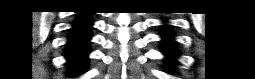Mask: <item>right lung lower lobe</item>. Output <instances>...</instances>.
Wrapping results in <instances>:
<instances>
[{
    "label": "right lung lower lobe",
    "instance_id": "obj_1",
    "mask_svg": "<svg viewBox=\"0 0 255 79\" xmlns=\"http://www.w3.org/2000/svg\"><path fill=\"white\" fill-rule=\"evenodd\" d=\"M73 24L74 27L69 36L65 56L71 67L69 74L77 75L84 72L87 68L92 21L87 15H81Z\"/></svg>",
    "mask_w": 255,
    "mask_h": 79
}]
</instances>
